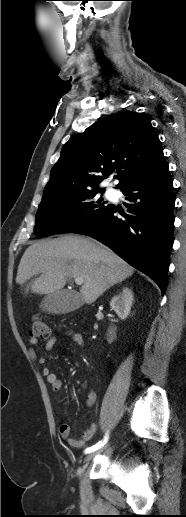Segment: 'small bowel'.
Returning <instances> with one entry per match:
<instances>
[{
  "instance_id": "1",
  "label": "small bowel",
  "mask_w": 186,
  "mask_h": 517,
  "mask_svg": "<svg viewBox=\"0 0 186 517\" xmlns=\"http://www.w3.org/2000/svg\"><path fill=\"white\" fill-rule=\"evenodd\" d=\"M66 334L70 338V340L78 347H82L84 345L83 336L79 332L68 330L66 332ZM29 342L31 344V347L29 349L30 356L32 358H35L39 363H44L45 359L43 357H38L35 352V347L38 344L37 339L30 337ZM55 342H56V337L52 336L46 343V349L47 350L52 349ZM42 372L54 391H59L62 388V381L59 379L57 374L51 370L50 367L45 366L42 369ZM87 386H88L87 382H84L82 384L83 388H86ZM95 401H96L95 391H89L87 394V398H86V404L88 406H92L95 403ZM96 431H97V424L89 423L86 426L85 430L83 431L82 437L80 439H74V438L70 437V425L67 422H63L59 427L60 436L63 439H65L71 447H75V448L83 447L86 442L90 441L93 438Z\"/></svg>"
}]
</instances>
